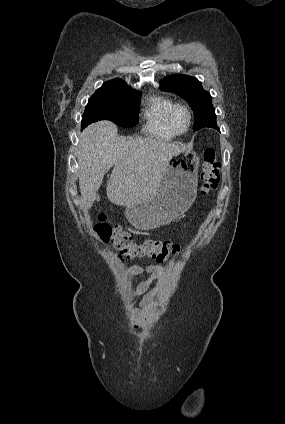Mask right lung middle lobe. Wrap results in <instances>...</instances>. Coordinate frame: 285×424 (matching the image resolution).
I'll use <instances>...</instances> for the list:
<instances>
[{"label": "right lung middle lobe", "instance_id": "right-lung-middle-lobe-1", "mask_svg": "<svg viewBox=\"0 0 285 424\" xmlns=\"http://www.w3.org/2000/svg\"><path fill=\"white\" fill-rule=\"evenodd\" d=\"M141 92L131 88L96 91L88 100L82 116L81 129L99 121L110 120L130 128L138 123Z\"/></svg>", "mask_w": 285, "mask_h": 424}]
</instances>
